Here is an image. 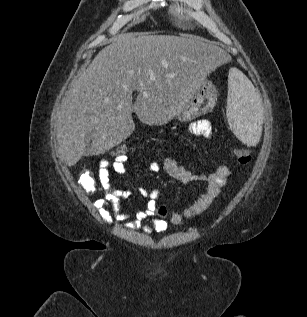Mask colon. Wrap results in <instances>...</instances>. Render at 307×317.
Returning a JSON list of instances; mask_svg holds the SVG:
<instances>
[{
  "label": "colon",
  "instance_id": "obj_1",
  "mask_svg": "<svg viewBox=\"0 0 307 317\" xmlns=\"http://www.w3.org/2000/svg\"><path fill=\"white\" fill-rule=\"evenodd\" d=\"M136 151L137 148L134 146L118 144L109 150V155H111L113 159L122 158L128 161L130 155ZM233 156L240 165H248L252 159L250 152L245 149H234ZM79 183L87 194H93L97 189V180L93 172L89 169L84 168L82 170ZM158 213L159 215L164 216L166 214L165 207H160Z\"/></svg>",
  "mask_w": 307,
  "mask_h": 317
}]
</instances>
